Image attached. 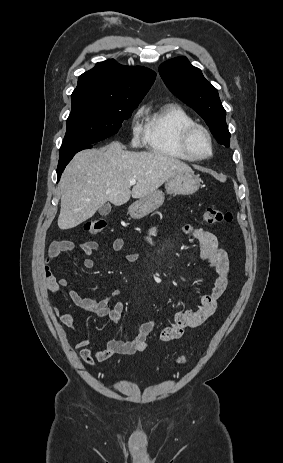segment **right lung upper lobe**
Instances as JSON below:
<instances>
[{"label":"right lung upper lobe","instance_id":"cb5924a9","mask_svg":"<svg viewBox=\"0 0 283 463\" xmlns=\"http://www.w3.org/2000/svg\"><path fill=\"white\" fill-rule=\"evenodd\" d=\"M155 77L156 73L150 69L123 66L111 59L97 63L93 69L80 75L72 94L140 103Z\"/></svg>","mask_w":283,"mask_h":463}]
</instances>
